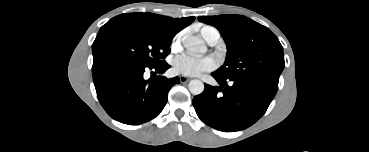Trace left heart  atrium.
I'll return each instance as SVG.
<instances>
[{
    "label": "left heart atrium",
    "mask_w": 369,
    "mask_h": 152,
    "mask_svg": "<svg viewBox=\"0 0 369 152\" xmlns=\"http://www.w3.org/2000/svg\"><path fill=\"white\" fill-rule=\"evenodd\" d=\"M173 67L178 74L198 76L202 72L211 70L214 67V61L210 57L182 54L174 59Z\"/></svg>",
    "instance_id": "left-heart-atrium-1"
}]
</instances>
